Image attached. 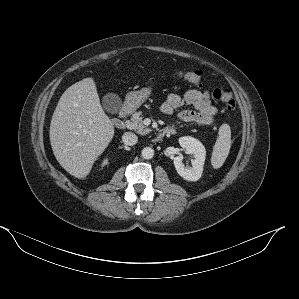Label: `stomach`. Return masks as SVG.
Segmentation results:
<instances>
[{"instance_id":"0dacf381","label":"stomach","mask_w":299,"mask_h":299,"mask_svg":"<svg viewBox=\"0 0 299 299\" xmlns=\"http://www.w3.org/2000/svg\"><path fill=\"white\" fill-rule=\"evenodd\" d=\"M151 92V87H146L139 91L130 92L126 97L125 107L128 110H136L148 99Z\"/></svg>"}]
</instances>
